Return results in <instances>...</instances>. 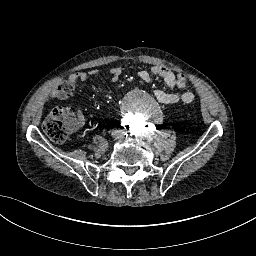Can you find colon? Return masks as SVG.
<instances>
[{"mask_svg": "<svg viewBox=\"0 0 256 256\" xmlns=\"http://www.w3.org/2000/svg\"><path fill=\"white\" fill-rule=\"evenodd\" d=\"M76 85L77 81L75 79L62 82L57 87L58 99H67L74 92ZM177 85L180 89H185L188 86V79L184 74L178 75ZM75 126V121L70 116L69 110L66 107H57L44 121L43 130L52 141L64 142L71 131L75 129Z\"/></svg>", "mask_w": 256, "mask_h": 256, "instance_id": "5ec220e1", "label": "colon"}]
</instances>
